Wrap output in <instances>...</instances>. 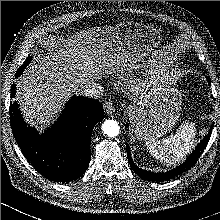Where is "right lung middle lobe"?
Masks as SVG:
<instances>
[{"mask_svg":"<svg viewBox=\"0 0 220 220\" xmlns=\"http://www.w3.org/2000/svg\"><path fill=\"white\" fill-rule=\"evenodd\" d=\"M31 61V57H28L24 64L17 70L16 72V77L20 76L23 73L24 68L26 67V65H28Z\"/></svg>","mask_w":220,"mask_h":220,"instance_id":"dd1d6c3e","label":"right lung middle lobe"}]
</instances>
